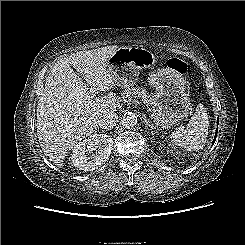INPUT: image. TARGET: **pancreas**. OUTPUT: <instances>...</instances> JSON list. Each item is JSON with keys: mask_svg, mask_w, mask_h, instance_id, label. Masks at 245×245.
I'll return each instance as SVG.
<instances>
[{"mask_svg": "<svg viewBox=\"0 0 245 245\" xmlns=\"http://www.w3.org/2000/svg\"><path fill=\"white\" fill-rule=\"evenodd\" d=\"M121 96L123 99L125 98H139L141 99L146 105H151L153 96L149 94L145 89L142 87H133L127 88L122 93Z\"/></svg>", "mask_w": 245, "mask_h": 245, "instance_id": "obj_1", "label": "pancreas"}]
</instances>
